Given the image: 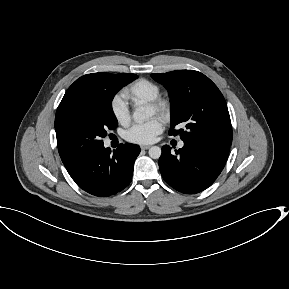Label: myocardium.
<instances>
[{"mask_svg":"<svg viewBox=\"0 0 289 289\" xmlns=\"http://www.w3.org/2000/svg\"><path fill=\"white\" fill-rule=\"evenodd\" d=\"M149 107L154 110L156 115L167 118L171 111V103L169 99L158 97L148 103Z\"/></svg>","mask_w":289,"mask_h":289,"instance_id":"obj_1","label":"myocardium"}]
</instances>
